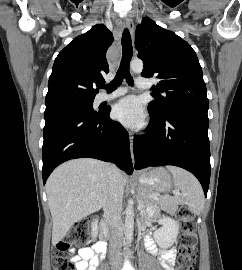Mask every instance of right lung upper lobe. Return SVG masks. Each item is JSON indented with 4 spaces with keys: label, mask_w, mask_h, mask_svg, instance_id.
I'll use <instances>...</instances> for the list:
<instances>
[{
    "label": "right lung upper lobe",
    "mask_w": 242,
    "mask_h": 270,
    "mask_svg": "<svg viewBox=\"0 0 242 270\" xmlns=\"http://www.w3.org/2000/svg\"><path fill=\"white\" fill-rule=\"evenodd\" d=\"M114 38L102 24L76 37L56 57L45 105L95 98L109 72L106 52Z\"/></svg>",
    "instance_id": "1"
}]
</instances>
